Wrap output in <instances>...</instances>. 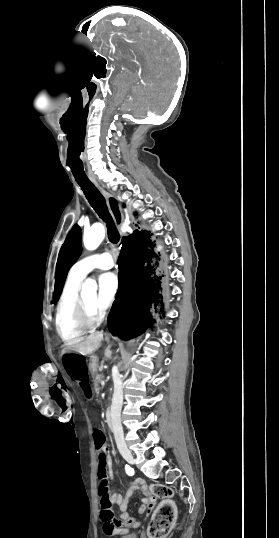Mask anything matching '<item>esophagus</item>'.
Wrapping results in <instances>:
<instances>
[{"instance_id":"34e87169","label":"esophagus","mask_w":279,"mask_h":538,"mask_svg":"<svg viewBox=\"0 0 279 538\" xmlns=\"http://www.w3.org/2000/svg\"><path fill=\"white\" fill-rule=\"evenodd\" d=\"M91 182H93L95 185H98L95 177L93 176H89ZM100 190L102 191L105 199H106V202H107V205L109 207V210L111 212V215L113 217V220H114V223L116 225V227L118 228V230L120 231L121 233V227H122V224L124 222V215H123V212H122V209H121V205L119 203V201L117 200V198L114 196V195H111L110 193L106 192L103 188L99 187Z\"/></svg>"}]
</instances>
